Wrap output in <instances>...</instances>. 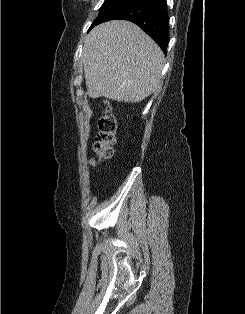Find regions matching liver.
Wrapping results in <instances>:
<instances>
[{"instance_id": "liver-1", "label": "liver", "mask_w": 245, "mask_h": 314, "mask_svg": "<svg viewBox=\"0 0 245 314\" xmlns=\"http://www.w3.org/2000/svg\"><path fill=\"white\" fill-rule=\"evenodd\" d=\"M87 94L136 103L161 87L164 53L136 24L113 20L86 36L82 52Z\"/></svg>"}]
</instances>
